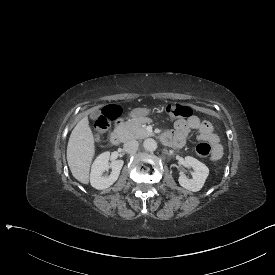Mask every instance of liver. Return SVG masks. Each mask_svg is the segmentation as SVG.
Returning a JSON list of instances; mask_svg holds the SVG:
<instances>
[{"mask_svg":"<svg viewBox=\"0 0 275 275\" xmlns=\"http://www.w3.org/2000/svg\"><path fill=\"white\" fill-rule=\"evenodd\" d=\"M94 156V138L87 117L81 119L72 130L67 146V161L72 175L88 184L89 171Z\"/></svg>","mask_w":275,"mask_h":275,"instance_id":"1","label":"liver"}]
</instances>
